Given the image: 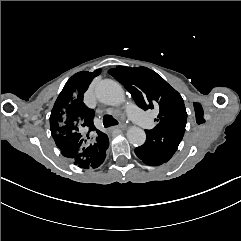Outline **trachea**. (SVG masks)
I'll use <instances>...</instances> for the list:
<instances>
[{
	"mask_svg": "<svg viewBox=\"0 0 241 241\" xmlns=\"http://www.w3.org/2000/svg\"><path fill=\"white\" fill-rule=\"evenodd\" d=\"M118 121L114 119L111 115H104L103 117V125L105 128L111 127L113 125H117Z\"/></svg>",
	"mask_w": 241,
	"mask_h": 241,
	"instance_id": "obj_1",
	"label": "trachea"
}]
</instances>
